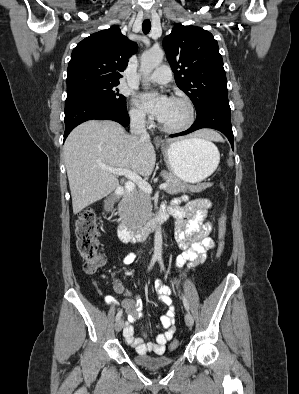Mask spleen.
Listing matches in <instances>:
<instances>
[{"instance_id":"obj_1","label":"spleen","mask_w":299,"mask_h":394,"mask_svg":"<svg viewBox=\"0 0 299 394\" xmlns=\"http://www.w3.org/2000/svg\"><path fill=\"white\" fill-rule=\"evenodd\" d=\"M209 144L213 145V143L210 142V141H209ZM228 165H229V166H232V165H233V161H232L231 158L228 159Z\"/></svg>"}]
</instances>
